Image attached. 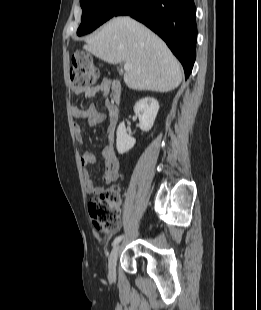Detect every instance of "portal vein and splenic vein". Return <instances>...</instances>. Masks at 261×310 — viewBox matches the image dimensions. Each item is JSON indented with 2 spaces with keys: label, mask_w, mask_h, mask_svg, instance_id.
Here are the masks:
<instances>
[{
  "label": "portal vein and splenic vein",
  "mask_w": 261,
  "mask_h": 310,
  "mask_svg": "<svg viewBox=\"0 0 261 310\" xmlns=\"http://www.w3.org/2000/svg\"><path fill=\"white\" fill-rule=\"evenodd\" d=\"M130 69H131V65L128 64V63H126V64L124 65V70H125V71H128V70H130Z\"/></svg>",
  "instance_id": "obj_1"
}]
</instances>
